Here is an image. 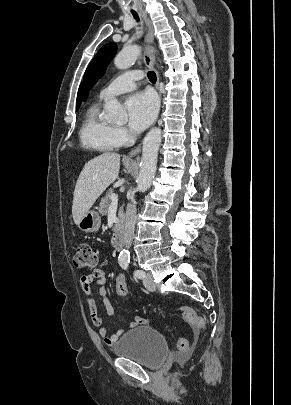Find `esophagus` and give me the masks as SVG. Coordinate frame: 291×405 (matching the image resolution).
<instances>
[{
	"mask_svg": "<svg viewBox=\"0 0 291 405\" xmlns=\"http://www.w3.org/2000/svg\"><path fill=\"white\" fill-rule=\"evenodd\" d=\"M142 17L144 18L147 29H148L147 34L145 36V43L152 44L154 41L153 27L151 25L150 20L148 19L147 15L144 12H142ZM143 61L149 69L154 70L156 72L157 88H159L160 76H159L158 71L155 69V56L149 50L146 49L144 52V55H143ZM160 95H161V93H160ZM140 152H141V145H138L136 148H134L133 150H131L129 152L128 157L129 158L136 157L140 154Z\"/></svg>",
	"mask_w": 291,
	"mask_h": 405,
	"instance_id": "34e87169",
	"label": "esophagus"
}]
</instances>
